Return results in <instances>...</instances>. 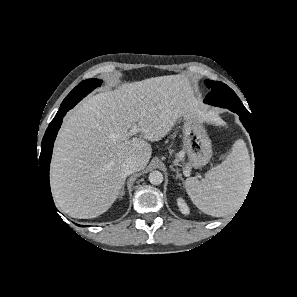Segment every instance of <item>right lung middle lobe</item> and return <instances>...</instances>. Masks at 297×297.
<instances>
[{"label":"right lung middle lobe","instance_id":"obj_1","mask_svg":"<svg viewBox=\"0 0 297 297\" xmlns=\"http://www.w3.org/2000/svg\"><path fill=\"white\" fill-rule=\"evenodd\" d=\"M102 83L98 79H88L79 83L63 100L58 112L69 111L73 108L83 97H85L92 90L97 88ZM57 112V113H58ZM56 117V116H55ZM54 117V118H55ZM54 120V119H53ZM52 120V121H53Z\"/></svg>","mask_w":297,"mask_h":297}]
</instances>
